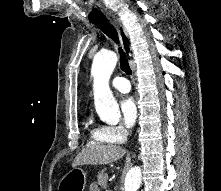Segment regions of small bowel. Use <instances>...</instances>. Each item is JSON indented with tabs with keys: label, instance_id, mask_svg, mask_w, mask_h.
<instances>
[{
	"label": "small bowel",
	"instance_id": "small-bowel-1",
	"mask_svg": "<svg viewBox=\"0 0 221 191\" xmlns=\"http://www.w3.org/2000/svg\"><path fill=\"white\" fill-rule=\"evenodd\" d=\"M90 191H98L96 185H91Z\"/></svg>",
	"mask_w": 221,
	"mask_h": 191
}]
</instances>
